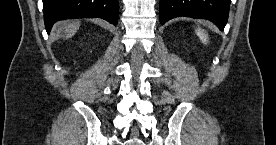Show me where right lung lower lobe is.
<instances>
[{"label":"right lung lower lobe","mask_w":276,"mask_h":145,"mask_svg":"<svg viewBox=\"0 0 276 145\" xmlns=\"http://www.w3.org/2000/svg\"><path fill=\"white\" fill-rule=\"evenodd\" d=\"M44 23L49 33L58 20L100 17L116 25L118 0H43Z\"/></svg>","instance_id":"98d812e1"}]
</instances>
